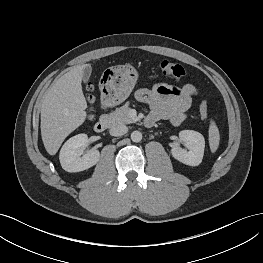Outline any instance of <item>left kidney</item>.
Instances as JSON below:
<instances>
[{"label": "left kidney", "mask_w": 263, "mask_h": 263, "mask_svg": "<svg viewBox=\"0 0 263 263\" xmlns=\"http://www.w3.org/2000/svg\"><path fill=\"white\" fill-rule=\"evenodd\" d=\"M179 138L185 143L189 151L173 147L171 149L172 156L183 164L198 166L204 155L205 140L203 135L194 130H182L179 132Z\"/></svg>", "instance_id": "obj_1"}]
</instances>
